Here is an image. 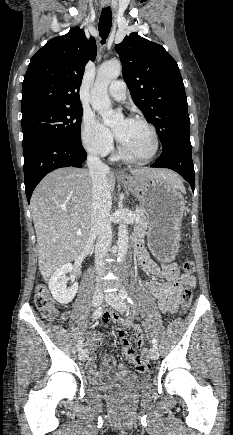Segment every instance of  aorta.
I'll use <instances>...</instances> for the list:
<instances>
[{
	"instance_id": "obj_1",
	"label": "aorta",
	"mask_w": 233,
	"mask_h": 435,
	"mask_svg": "<svg viewBox=\"0 0 233 435\" xmlns=\"http://www.w3.org/2000/svg\"><path fill=\"white\" fill-rule=\"evenodd\" d=\"M121 73V63L111 61L100 66L93 88L91 89V105L102 117L104 124L112 126L123 119L120 111L111 108L108 97V86ZM118 261L122 262L128 250V229L124 223L118 227Z\"/></svg>"
}]
</instances>
